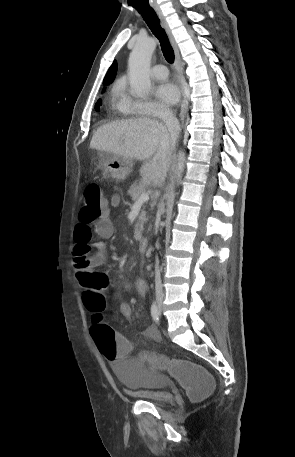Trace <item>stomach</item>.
Instances as JSON below:
<instances>
[{"mask_svg": "<svg viewBox=\"0 0 295 457\" xmlns=\"http://www.w3.org/2000/svg\"><path fill=\"white\" fill-rule=\"evenodd\" d=\"M100 158L106 177L124 180L132 172L133 161L130 159L106 152H102Z\"/></svg>", "mask_w": 295, "mask_h": 457, "instance_id": "0dacf381", "label": "stomach"}]
</instances>
